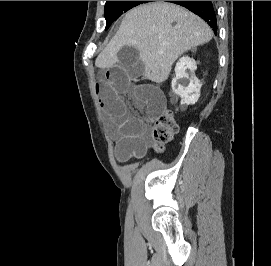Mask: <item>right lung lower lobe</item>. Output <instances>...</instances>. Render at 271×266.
<instances>
[{"label": "right lung lower lobe", "mask_w": 271, "mask_h": 266, "mask_svg": "<svg viewBox=\"0 0 271 266\" xmlns=\"http://www.w3.org/2000/svg\"><path fill=\"white\" fill-rule=\"evenodd\" d=\"M186 7L203 18L217 33V18L212 1H167Z\"/></svg>", "instance_id": "98d812e1"}]
</instances>
